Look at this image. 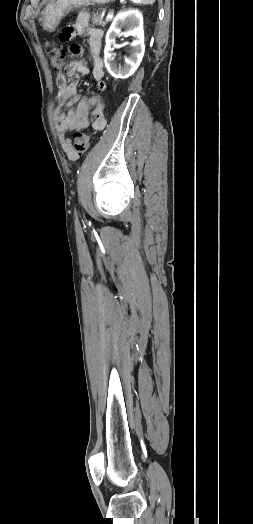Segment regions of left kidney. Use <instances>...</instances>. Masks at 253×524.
<instances>
[{"label": "left kidney", "instance_id": "1", "mask_svg": "<svg viewBox=\"0 0 253 524\" xmlns=\"http://www.w3.org/2000/svg\"><path fill=\"white\" fill-rule=\"evenodd\" d=\"M123 27L127 28L123 35L125 37H133V41L130 44L132 51L130 56L125 58L124 66H118L114 62L113 48H111V45L115 42L116 36L121 34ZM105 41L104 62L108 72L114 78L124 79L131 76L140 65L145 52L142 14L134 9L120 12L114 18L106 34Z\"/></svg>", "mask_w": 253, "mask_h": 524}]
</instances>
